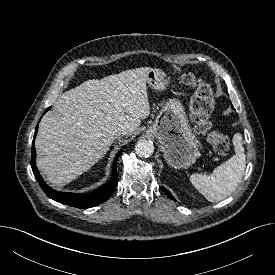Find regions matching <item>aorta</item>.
Returning a JSON list of instances; mask_svg holds the SVG:
<instances>
[{"instance_id":"1","label":"aorta","mask_w":275,"mask_h":275,"mask_svg":"<svg viewBox=\"0 0 275 275\" xmlns=\"http://www.w3.org/2000/svg\"><path fill=\"white\" fill-rule=\"evenodd\" d=\"M135 152L139 157L147 158L154 152L153 142L150 140H140L135 145Z\"/></svg>"}]
</instances>
